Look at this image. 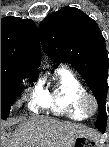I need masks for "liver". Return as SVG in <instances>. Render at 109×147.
Returning <instances> with one entry per match:
<instances>
[{"label":"liver","instance_id":"liver-1","mask_svg":"<svg viewBox=\"0 0 109 147\" xmlns=\"http://www.w3.org/2000/svg\"><path fill=\"white\" fill-rule=\"evenodd\" d=\"M4 124H2V127ZM78 136L99 138V133L91 128L61 122L51 118L31 117L18 125L11 136L4 137L2 147H73Z\"/></svg>","mask_w":109,"mask_h":147}]
</instances>
